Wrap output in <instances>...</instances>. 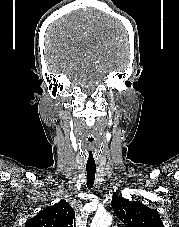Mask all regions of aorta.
Returning a JSON list of instances; mask_svg holds the SVG:
<instances>
[{
  "label": "aorta",
  "instance_id": "aorta-1",
  "mask_svg": "<svg viewBox=\"0 0 179 227\" xmlns=\"http://www.w3.org/2000/svg\"><path fill=\"white\" fill-rule=\"evenodd\" d=\"M112 216L108 212H98L94 216L90 227H110Z\"/></svg>",
  "mask_w": 179,
  "mask_h": 227
}]
</instances>
